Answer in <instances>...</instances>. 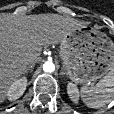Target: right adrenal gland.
Segmentation results:
<instances>
[{"mask_svg": "<svg viewBox=\"0 0 114 114\" xmlns=\"http://www.w3.org/2000/svg\"><path fill=\"white\" fill-rule=\"evenodd\" d=\"M33 68H34V65H32L31 67H29V68L25 71V74H27L29 71L32 73V72H33Z\"/></svg>", "mask_w": 114, "mask_h": 114, "instance_id": "obj_1", "label": "right adrenal gland"}]
</instances>
